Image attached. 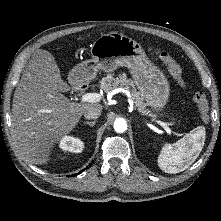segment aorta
Here are the masks:
<instances>
[{"label":"aorta","mask_w":221,"mask_h":221,"mask_svg":"<svg viewBox=\"0 0 221 221\" xmlns=\"http://www.w3.org/2000/svg\"><path fill=\"white\" fill-rule=\"evenodd\" d=\"M114 129L118 133H123L127 130V123L125 119L123 118H118L114 122Z\"/></svg>","instance_id":"obj_1"}]
</instances>
